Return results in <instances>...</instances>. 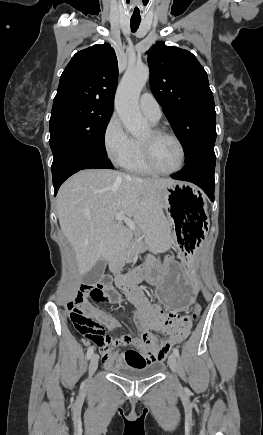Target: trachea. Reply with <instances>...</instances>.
I'll return each instance as SVG.
<instances>
[{"mask_svg": "<svg viewBox=\"0 0 263 435\" xmlns=\"http://www.w3.org/2000/svg\"><path fill=\"white\" fill-rule=\"evenodd\" d=\"M140 22H141V20H132L131 19L130 25H131L132 32H135L138 29Z\"/></svg>", "mask_w": 263, "mask_h": 435, "instance_id": "1", "label": "trachea"}]
</instances>
